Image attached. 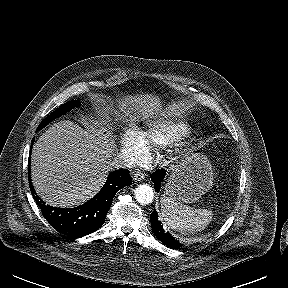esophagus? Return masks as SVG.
I'll use <instances>...</instances> for the list:
<instances>
[{
  "label": "esophagus",
  "instance_id": "obj_1",
  "mask_svg": "<svg viewBox=\"0 0 288 288\" xmlns=\"http://www.w3.org/2000/svg\"><path fill=\"white\" fill-rule=\"evenodd\" d=\"M132 177H133V180L137 182V181L144 180L145 175L143 173H141V172H135V173H133Z\"/></svg>",
  "mask_w": 288,
  "mask_h": 288
}]
</instances>
